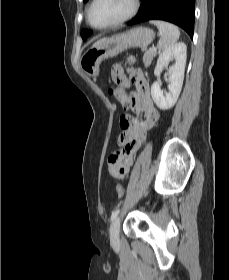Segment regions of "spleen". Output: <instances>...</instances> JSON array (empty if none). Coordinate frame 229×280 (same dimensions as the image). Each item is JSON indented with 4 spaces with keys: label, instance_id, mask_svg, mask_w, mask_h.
<instances>
[{
    "label": "spleen",
    "instance_id": "3e777b00",
    "mask_svg": "<svg viewBox=\"0 0 229 280\" xmlns=\"http://www.w3.org/2000/svg\"><path fill=\"white\" fill-rule=\"evenodd\" d=\"M151 24L155 25L160 33V39L157 44L159 50H166L172 47L180 37L179 29L168 22L160 20H152Z\"/></svg>",
    "mask_w": 229,
    "mask_h": 280
}]
</instances>
